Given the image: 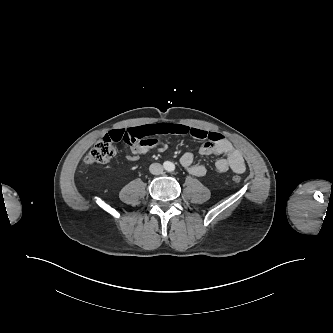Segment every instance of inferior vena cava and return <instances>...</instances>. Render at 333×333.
<instances>
[{
    "instance_id": "obj_1",
    "label": "inferior vena cava",
    "mask_w": 333,
    "mask_h": 333,
    "mask_svg": "<svg viewBox=\"0 0 333 333\" xmlns=\"http://www.w3.org/2000/svg\"><path fill=\"white\" fill-rule=\"evenodd\" d=\"M163 170V166L160 163H152L149 167V171L154 175L162 174Z\"/></svg>"
}]
</instances>
